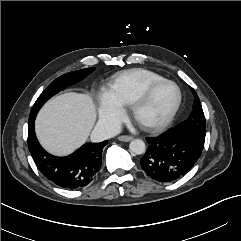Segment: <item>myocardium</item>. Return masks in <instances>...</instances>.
Masks as SVG:
<instances>
[{"mask_svg": "<svg viewBox=\"0 0 241 241\" xmlns=\"http://www.w3.org/2000/svg\"><path fill=\"white\" fill-rule=\"evenodd\" d=\"M163 84H172L177 89V100H176V103H175L173 109L171 110L169 115L164 120H162L158 123H146V122L141 121L138 117V113H139L140 109L149 100V98L151 97L153 92ZM182 99H183V95H182V91H181V88L179 87V85L172 80L162 79V80L153 82L150 85H148L141 92V94L133 101V103L130 105L131 106V116L141 127H143L146 130L155 131V132L162 131V130L166 129L175 119V117L181 107Z\"/></svg>", "mask_w": 241, "mask_h": 241, "instance_id": "1", "label": "myocardium"}]
</instances>
